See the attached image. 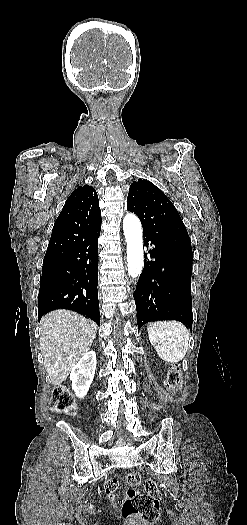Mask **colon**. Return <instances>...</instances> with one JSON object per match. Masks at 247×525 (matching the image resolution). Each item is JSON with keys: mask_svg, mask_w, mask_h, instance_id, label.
<instances>
[{"mask_svg": "<svg viewBox=\"0 0 247 525\" xmlns=\"http://www.w3.org/2000/svg\"><path fill=\"white\" fill-rule=\"evenodd\" d=\"M179 382L180 365L173 363L166 376V385L170 391H174L177 389ZM51 406L60 414L72 415L76 412L74 399L62 384L54 387ZM125 480L127 484L136 486V488L129 490L122 499V516L136 519L146 524H154L160 516L159 502L161 492L159 486L152 480L142 481L140 474L134 471L127 472Z\"/></svg>", "mask_w": 247, "mask_h": 525, "instance_id": "colon-1", "label": "colon"}]
</instances>
